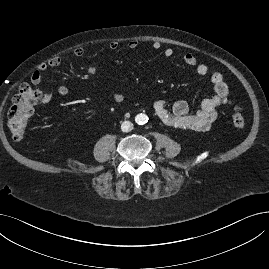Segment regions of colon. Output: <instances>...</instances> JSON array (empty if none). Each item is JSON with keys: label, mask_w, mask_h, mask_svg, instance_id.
I'll return each instance as SVG.
<instances>
[{"label": "colon", "mask_w": 269, "mask_h": 269, "mask_svg": "<svg viewBox=\"0 0 269 269\" xmlns=\"http://www.w3.org/2000/svg\"><path fill=\"white\" fill-rule=\"evenodd\" d=\"M40 102H42V94L39 90L29 84L20 86L13 98L7 121L9 131L15 140L23 137L27 123ZM232 122L237 129L242 130L245 127V119L239 106H235L233 109Z\"/></svg>", "instance_id": "1"}]
</instances>
